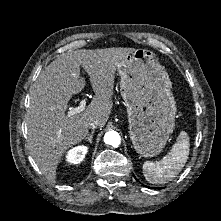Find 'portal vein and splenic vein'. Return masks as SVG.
Wrapping results in <instances>:
<instances>
[{"label":"portal vein and splenic vein","instance_id":"1","mask_svg":"<svg viewBox=\"0 0 221 221\" xmlns=\"http://www.w3.org/2000/svg\"><path fill=\"white\" fill-rule=\"evenodd\" d=\"M85 107H86V99H82L79 103V106L73 108V109H70L68 112H67V115L68 116H72V115H75V114H78L82 111L85 110Z\"/></svg>","mask_w":221,"mask_h":221}]
</instances>
